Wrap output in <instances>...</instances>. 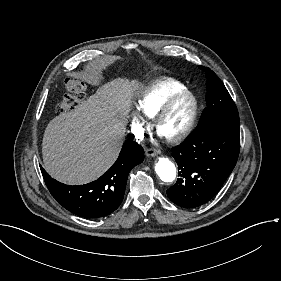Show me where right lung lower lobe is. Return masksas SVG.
I'll return each mask as SVG.
<instances>
[{
    "mask_svg": "<svg viewBox=\"0 0 281 281\" xmlns=\"http://www.w3.org/2000/svg\"><path fill=\"white\" fill-rule=\"evenodd\" d=\"M144 159L141 146L124 144L117 161L99 179L85 185L71 186L51 178L41 168L45 183L57 202L72 213L85 218L104 217L121 204L131 169Z\"/></svg>",
    "mask_w": 281,
    "mask_h": 281,
    "instance_id": "right-lung-lower-lobe-1",
    "label": "right lung lower lobe"
}]
</instances>
